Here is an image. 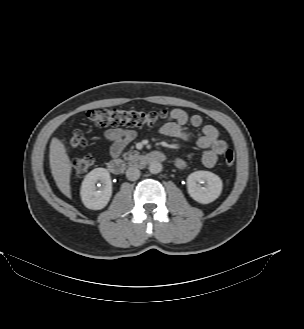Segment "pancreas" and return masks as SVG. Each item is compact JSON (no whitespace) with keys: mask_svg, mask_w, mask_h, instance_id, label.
Returning a JSON list of instances; mask_svg holds the SVG:
<instances>
[{"mask_svg":"<svg viewBox=\"0 0 304 329\" xmlns=\"http://www.w3.org/2000/svg\"><path fill=\"white\" fill-rule=\"evenodd\" d=\"M123 158L125 160H131L133 158V155L131 154V152H127L123 154Z\"/></svg>","mask_w":304,"mask_h":329,"instance_id":"pancreas-1","label":"pancreas"}]
</instances>
